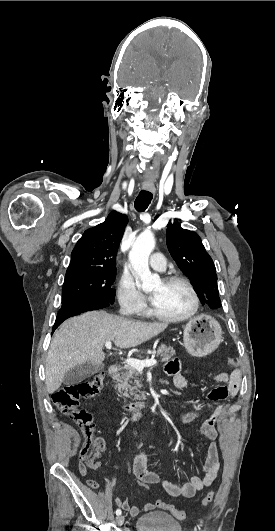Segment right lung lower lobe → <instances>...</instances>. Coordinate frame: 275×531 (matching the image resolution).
Segmentation results:
<instances>
[{
  "label": "right lung lower lobe",
  "instance_id": "obj_1",
  "mask_svg": "<svg viewBox=\"0 0 275 531\" xmlns=\"http://www.w3.org/2000/svg\"><path fill=\"white\" fill-rule=\"evenodd\" d=\"M107 307L106 305L89 302L83 299H67L62 301L61 309L57 314L56 321L53 325L52 333L67 318L79 315L81 313L97 310Z\"/></svg>",
  "mask_w": 275,
  "mask_h": 531
}]
</instances>
